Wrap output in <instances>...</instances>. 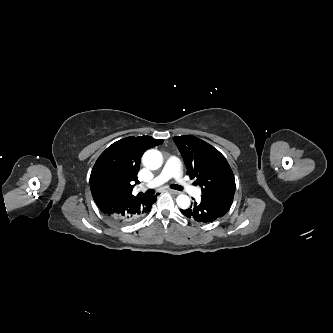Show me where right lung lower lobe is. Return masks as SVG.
Returning <instances> with one entry per match:
<instances>
[{
  "label": "right lung lower lobe",
  "instance_id": "obj_1",
  "mask_svg": "<svg viewBox=\"0 0 333 333\" xmlns=\"http://www.w3.org/2000/svg\"><path fill=\"white\" fill-rule=\"evenodd\" d=\"M156 196L111 197L98 202L97 206L111 221L129 225L150 212L152 204L156 202Z\"/></svg>",
  "mask_w": 333,
  "mask_h": 333
}]
</instances>
